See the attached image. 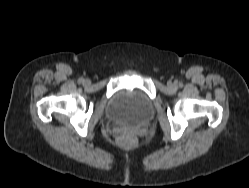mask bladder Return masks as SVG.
Segmentation results:
<instances>
[{"label": "bladder", "mask_w": 249, "mask_h": 188, "mask_svg": "<svg viewBox=\"0 0 249 188\" xmlns=\"http://www.w3.org/2000/svg\"><path fill=\"white\" fill-rule=\"evenodd\" d=\"M107 114L115 120L142 123L152 117L153 104L142 92L123 90L110 100Z\"/></svg>", "instance_id": "1"}]
</instances>
